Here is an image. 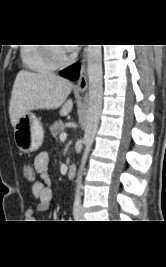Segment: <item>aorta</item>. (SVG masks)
<instances>
[{"mask_svg":"<svg viewBox=\"0 0 166 267\" xmlns=\"http://www.w3.org/2000/svg\"><path fill=\"white\" fill-rule=\"evenodd\" d=\"M87 73L89 78V107L87 111V127L84 134L85 150L76 180L75 198H80L82 173L85 169L87 157L91 150L96 132L98 130L102 110V49L101 45H88Z\"/></svg>","mask_w":166,"mask_h":267,"instance_id":"762f6f07","label":"aorta"}]
</instances>
